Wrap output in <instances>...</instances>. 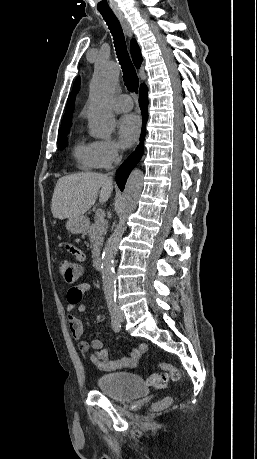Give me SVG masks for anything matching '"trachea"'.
<instances>
[{
	"mask_svg": "<svg viewBox=\"0 0 257 459\" xmlns=\"http://www.w3.org/2000/svg\"><path fill=\"white\" fill-rule=\"evenodd\" d=\"M100 14L103 16L110 29V32L112 33L117 58L123 72V80L125 82V86L129 91L137 92L139 87V79L129 57L120 23L112 11H100Z\"/></svg>",
	"mask_w": 257,
	"mask_h": 459,
	"instance_id": "3493384b",
	"label": "trachea"
}]
</instances>
